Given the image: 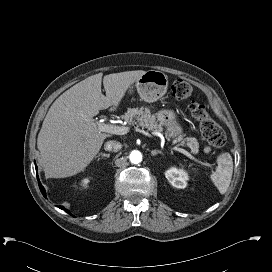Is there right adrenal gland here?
Instances as JSON below:
<instances>
[{
  "instance_id": "obj_1",
  "label": "right adrenal gland",
  "mask_w": 272,
  "mask_h": 272,
  "mask_svg": "<svg viewBox=\"0 0 272 272\" xmlns=\"http://www.w3.org/2000/svg\"><path fill=\"white\" fill-rule=\"evenodd\" d=\"M100 156H101V157H107V158H108V157L110 156V154L99 153V154H98V157H100Z\"/></svg>"
}]
</instances>
